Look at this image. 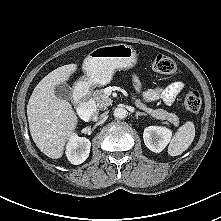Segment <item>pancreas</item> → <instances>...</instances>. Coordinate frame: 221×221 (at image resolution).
<instances>
[{
    "instance_id": "cf45deb5",
    "label": "pancreas",
    "mask_w": 221,
    "mask_h": 221,
    "mask_svg": "<svg viewBox=\"0 0 221 221\" xmlns=\"http://www.w3.org/2000/svg\"><path fill=\"white\" fill-rule=\"evenodd\" d=\"M93 98L96 101L97 107L102 109H107L108 106L112 105V100L105 94V89L95 90L93 93ZM132 99L134 104L141 110L145 111L150 116L158 120H167L174 126L179 125V118L175 113H169L163 109H152L147 107L140 99L136 98L135 94H132Z\"/></svg>"
}]
</instances>
